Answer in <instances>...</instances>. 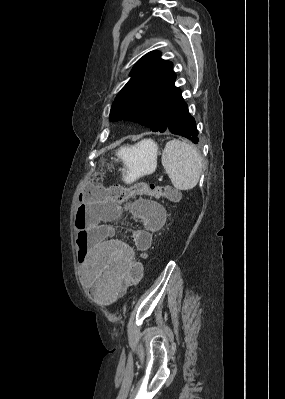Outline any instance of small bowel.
<instances>
[{"label": "small bowel", "mask_w": 285, "mask_h": 399, "mask_svg": "<svg viewBox=\"0 0 285 399\" xmlns=\"http://www.w3.org/2000/svg\"><path fill=\"white\" fill-rule=\"evenodd\" d=\"M102 208L96 207L94 214ZM136 216L141 227L130 234L133 245L118 237L107 235L103 230L93 232L78 228L76 242L79 254L83 253V275L90 281V287L106 305L112 304L131 286L130 267L139 251L142 257L147 255L152 236L158 233L166 220L164 210L156 204L137 205L128 208ZM117 214H122L118 211Z\"/></svg>", "instance_id": "1"}]
</instances>
